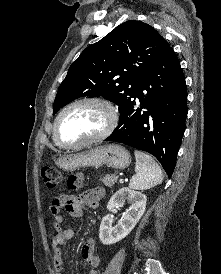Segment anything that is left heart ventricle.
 I'll return each instance as SVG.
<instances>
[{"mask_svg":"<svg viewBox=\"0 0 221 274\" xmlns=\"http://www.w3.org/2000/svg\"><path fill=\"white\" fill-rule=\"evenodd\" d=\"M107 123L105 110L94 104L71 108L62 117L58 135L62 142L79 143L99 134Z\"/></svg>","mask_w":221,"mask_h":274,"instance_id":"1","label":"left heart ventricle"}]
</instances>
